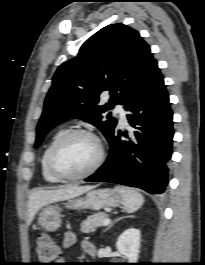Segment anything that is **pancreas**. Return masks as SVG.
<instances>
[{"label": "pancreas", "instance_id": "cf45deb5", "mask_svg": "<svg viewBox=\"0 0 205 265\" xmlns=\"http://www.w3.org/2000/svg\"><path fill=\"white\" fill-rule=\"evenodd\" d=\"M108 215L106 213L100 212L95 213L87 217L81 223V232L83 233H91L96 230L97 227L101 226L104 219H106Z\"/></svg>", "mask_w": 205, "mask_h": 265}]
</instances>
